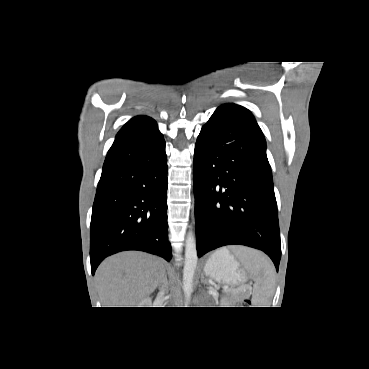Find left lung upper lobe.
<instances>
[{
    "instance_id": "1",
    "label": "left lung upper lobe",
    "mask_w": 369,
    "mask_h": 369,
    "mask_svg": "<svg viewBox=\"0 0 369 369\" xmlns=\"http://www.w3.org/2000/svg\"><path fill=\"white\" fill-rule=\"evenodd\" d=\"M220 107H227V108H231V109H235L237 111H239L240 113H242L243 115H245L247 118H249L251 121L255 122V119L253 117V115L250 113V111L240 105H236V104H224Z\"/></svg>"
}]
</instances>
